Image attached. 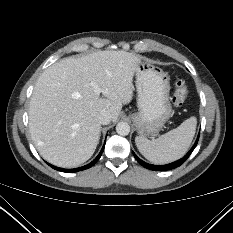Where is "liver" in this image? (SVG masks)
<instances>
[{
  "mask_svg": "<svg viewBox=\"0 0 233 233\" xmlns=\"http://www.w3.org/2000/svg\"><path fill=\"white\" fill-rule=\"evenodd\" d=\"M140 60L122 50L97 51L62 59L42 73L30 100L29 129L46 161L73 168L93 155L100 138L98 116L106 111L117 120L122 105L132 100Z\"/></svg>",
  "mask_w": 233,
  "mask_h": 233,
  "instance_id": "obj_1",
  "label": "liver"
}]
</instances>
